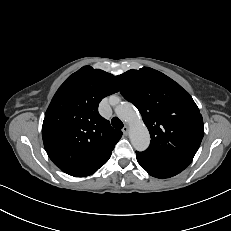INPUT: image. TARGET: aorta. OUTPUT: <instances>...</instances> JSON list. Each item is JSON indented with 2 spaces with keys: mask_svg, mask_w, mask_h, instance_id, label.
Masks as SVG:
<instances>
[{
  "mask_svg": "<svg viewBox=\"0 0 231 231\" xmlns=\"http://www.w3.org/2000/svg\"><path fill=\"white\" fill-rule=\"evenodd\" d=\"M116 115L130 126V141L137 151H144L150 144V134L135 107L129 102H121L115 107Z\"/></svg>",
  "mask_w": 231,
  "mask_h": 231,
  "instance_id": "aorta-1",
  "label": "aorta"
}]
</instances>
